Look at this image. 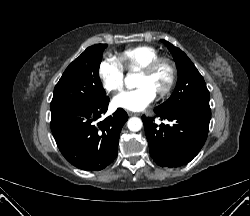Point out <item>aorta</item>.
<instances>
[{
  "instance_id": "aorta-1",
  "label": "aorta",
  "mask_w": 250,
  "mask_h": 216,
  "mask_svg": "<svg viewBox=\"0 0 250 216\" xmlns=\"http://www.w3.org/2000/svg\"><path fill=\"white\" fill-rule=\"evenodd\" d=\"M126 83H127V85H129L131 83V77H128L126 79ZM127 126H128L130 131L137 132V131L141 130V128L143 126V122L138 117H132L128 120Z\"/></svg>"
}]
</instances>
